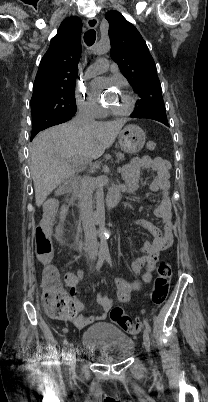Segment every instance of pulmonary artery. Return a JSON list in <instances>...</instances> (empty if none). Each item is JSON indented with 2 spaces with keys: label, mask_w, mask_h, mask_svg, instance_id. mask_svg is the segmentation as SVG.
I'll return each instance as SVG.
<instances>
[{
  "label": "pulmonary artery",
  "mask_w": 208,
  "mask_h": 402,
  "mask_svg": "<svg viewBox=\"0 0 208 402\" xmlns=\"http://www.w3.org/2000/svg\"><path fill=\"white\" fill-rule=\"evenodd\" d=\"M106 62L104 60H99L98 62L89 66L87 72L89 74H98L104 71Z\"/></svg>",
  "instance_id": "e3ab8cb5"
}]
</instances>
